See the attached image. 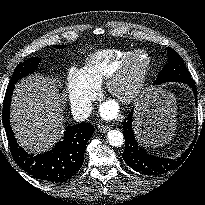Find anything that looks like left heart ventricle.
<instances>
[{
    "mask_svg": "<svg viewBox=\"0 0 205 205\" xmlns=\"http://www.w3.org/2000/svg\"><path fill=\"white\" fill-rule=\"evenodd\" d=\"M146 58L143 55H139L134 59L132 62L128 74L125 78V80L118 86L117 91L120 94H123L127 91L128 86L135 80V78L138 76V73L145 65Z\"/></svg>",
    "mask_w": 205,
    "mask_h": 205,
    "instance_id": "b2bd125f",
    "label": "left heart ventricle"
}]
</instances>
